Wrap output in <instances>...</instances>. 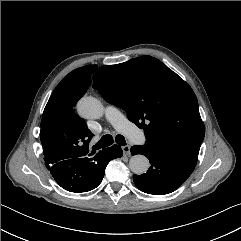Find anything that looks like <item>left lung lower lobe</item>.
<instances>
[{
  "label": "left lung lower lobe",
  "instance_id": "obj_1",
  "mask_svg": "<svg viewBox=\"0 0 241 241\" xmlns=\"http://www.w3.org/2000/svg\"><path fill=\"white\" fill-rule=\"evenodd\" d=\"M131 154H143L151 167L142 175H133L136 186L143 192L164 195L179 188L193 172L196 162L179 155L146 145L131 147Z\"/></svg>",
  "mask_w": 241,
  "mask_h": 241
}]
</instances>
